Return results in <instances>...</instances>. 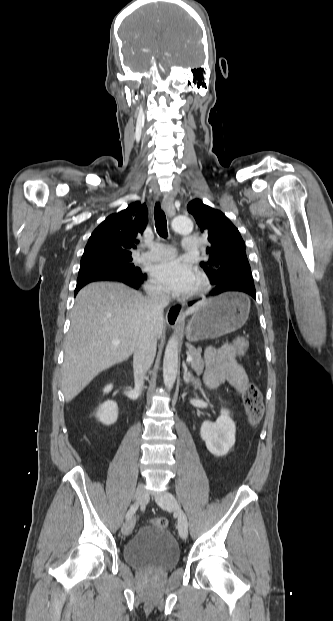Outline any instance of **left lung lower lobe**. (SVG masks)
I'll list each match as a JSON object with an SVG mask.
<instances>
[{
  "instance_id": "0a47b994",
  "label": "left lung lower lobe",
  "mask_w": 333,
  "mask_h": 621,
  "mask_svg": "<svg viewBox=\"0 0 333 621\" xmlns=\"http://www.w3.org/2000/svg\"><path fill=\"white\" fill-rule=\"evenodd\" d=\"M243 292L246 293L250 296H252L254 299H256V291H255V286H254V282L248 281V280H229L221 285H218L217 287H215V289H213L210 292V296H216L219 295L221 293L224 292ZM194 302L189 303V305H192Z\"/></svg>"
}]
</instances>
